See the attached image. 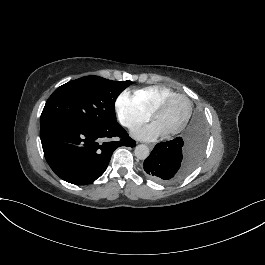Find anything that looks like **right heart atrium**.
<instances>
[{"label": "right heart atrium", "instance_id": "right-heart-atrium-1", "mask_svg": "<svg viewBox=\"0 0 265 265\" xmlns=\"http://www.w3.org/2000/svg\"><path fill=\"white\" fill-rule=\"evenodd\" d=\"M117 107L123 123L131 130L138 128L151 118V112L145 105L127 93L119 97Z\"/></svg>", "mask_w": 265, "mask_h": 265}]
</instances>
